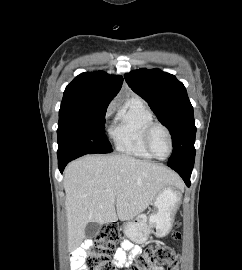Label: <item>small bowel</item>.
<instances>
[{"label": "small bowel", "mask_w": 242, "mask_h": 270, "mask_svg": "<svg viewBox=\"0 0 242 270\" xmlns=\"http://www.w3.org/2000/svg\"><path fill=\"white\" fill-rule=\"evenodd\" d=\"M91 246V242H85L81 248H79L71 257L72 267L76 270H87L84 264V257L86 250ZM141 248L124 240L121 246L116 250L114 255L115 263L118 265H126L131 262V260L140 254ZM152 270H165L162 266H154Z\"/></svg>", "instance_id": "c3829d8e"}]
</instances>
